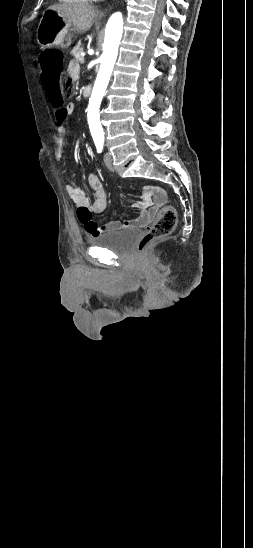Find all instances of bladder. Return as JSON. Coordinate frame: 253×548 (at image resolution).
Masks as SVG:
<instances>
[{
	"instance_id": "1",
	"label": "bladder",
	"mask_w": 253,
	"mask_h": 548,
	"mask_svg": "<svg viewBox=\"0 0 253 548\" xmlns=\"http://www.w3.org/2000/svg\"><path fill=\"white\" fill-rule=\"evenodd\" d=\"M139 229L109 231L89 238V243L110 250L115 254H126L140 237Z\"/></svg>"
}]
</instances>
